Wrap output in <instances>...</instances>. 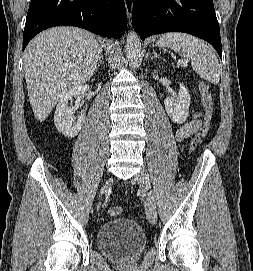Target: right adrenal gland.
I'll return each instance as SVG.
<instances>
[{"label":"right adrenal gland","mask_w":253,"mask_h":271,"mask_svg":"<svg viewBox=\"0 0 253 271\" xmlns=\"http://www.w3.org/2000/svg\"><path fill=\"white\" fill-rule=\"evenodd\" d=\"M102 58H103V55L101 54L100 57H99L96 69L100 66V64H103Z\"/></svg>","instance_id":"obj_1"}]
</instances>
